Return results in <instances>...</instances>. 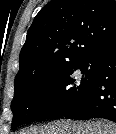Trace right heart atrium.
Wrapping results in <instances>:
<instances>
[{"mask_svg": "<svg viewBox=\"0 0 116 134\" xmlns=\"http://www.w3.org/2000/svg\"><path fill=\"white\" fill-rule=\"evenodd\" d=\"M48 96L51 100H57L61 97V89L59 87H55L49 91Z\"/></svg>", "mask_w": 116, "mask_h": 134, "instance_id": "1", "label": "right heart atrium"}]
</instances>
